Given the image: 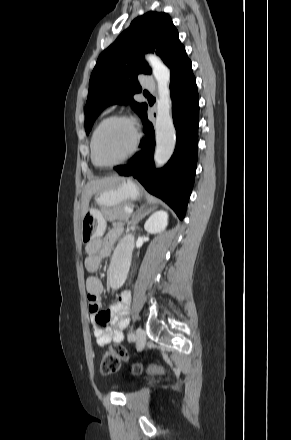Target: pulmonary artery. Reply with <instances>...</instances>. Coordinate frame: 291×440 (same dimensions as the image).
<instances>
[{
  "label": "pulmonary artery",
  "mask_w": 291,
  "mask_h": 440,
  "mask_svg": "<svg viewBox=\"0 0 291 440\" xmlns=\"http://www.w3.org/2000/svg\"><path fill=\"white\" fill-rule=\"evenodd\" d=\"M141 82L144 86L148 87L151 90H155L154 82L151 81V78L147 74H141Z\"/></svg>",
  "instance_id": "obj_1"
}]
</instances>
